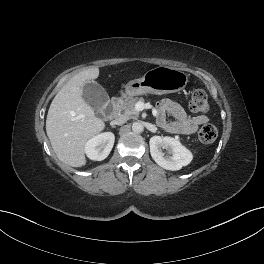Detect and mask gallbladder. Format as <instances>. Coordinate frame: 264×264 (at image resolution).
<instances>
[{
	"label": "gallbladder",
	"mask_w": 264,
	"mask_h": 264,
	"mask_svg": "<svg viewBox=\"0 0 264 264\" xmlns=\"http://www.w3.org/2000/svg\"><path fill=\"white\" fill-rule=\"evenodd\" d=\"M82 97L95 111H100L109 102L107 92L101 85L94 81H89L84 84L82 87Z\"/></svg>",
	"instance_id": "obj_1"
}]
</instances>
